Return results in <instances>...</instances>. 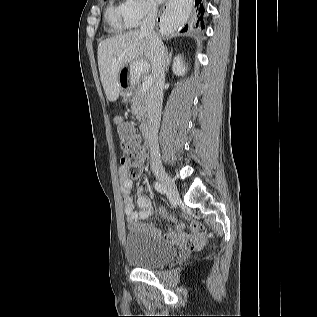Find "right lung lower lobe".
<instances>
[{
    "label": "right lung lower lobe",
    "instance_id": "98d812e1",
    "mask_svg": "<svg viewBox=\"0 0 317 317\" xmlns=\"http://www.w3.org/2000/svg\"><path fill=\"white\" fill-rule=\"evenodd\" d=\"M202 0H195V10L197 12V18L198 21L196 23V27L198 26V22L201 21V28L203 29L204 24H203V15H204V6L201 3ZM187 29V25L185 26V28L183 29V31H185Z\"/></svg>",
    "mask_w": 317,
    "mask_h": 317
}]
</instances>
